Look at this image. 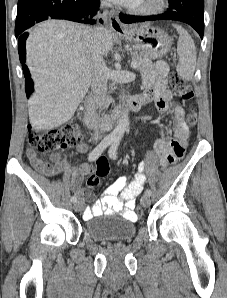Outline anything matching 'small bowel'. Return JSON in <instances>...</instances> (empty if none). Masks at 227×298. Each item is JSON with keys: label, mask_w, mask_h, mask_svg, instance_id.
<instances>
[{"label": "small bowel", "mask_w": 227, "mask_h": 298, "mask_svg": "<svg viewBox=\"0 0 227 298\" xmlns=\"http://www.w3.org/2000/svg\"><path fill=\"white\" fill-rule=\"evenodd\" d=\"M168 66L165 62L156 63L154 71L145 80V91L140 95L145 104L154 103L160 113L172 112L174 116V137H160L155 141V151L162 165L169 162V167H176V162L183 159V154L189 137V127L185 122V111L175 100L173 93L166 88ZM81 153L88 149L87 144L77 146ZM27 158L39 172L53 176L63 171L69 173L73 180L75 194L82 202L91 197V192L82 187L83 177L92 172V166L83 164L79 168L69 167L63 160L62 154H52L51 162H44L37 152L28 148ZM145 163H141L133 180L126 176L117 178L92 204L86 208L83 218L89 220L101 215H120L128 220H136L135 200L143 190L146 180Z\"/></svg>", "instance_id": "obj_1"}]
</instances>
